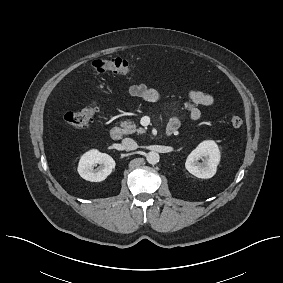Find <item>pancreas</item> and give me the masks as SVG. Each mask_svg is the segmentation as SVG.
I'll return each instance as SVG.
<instances>
[{"mask_svg": "<svg viewBox=\"0 0 283 283\" xmlns=\"http://www.w3.org/2000/svg\"><path fill=\"white\" fill-rule=\"evenodd\" d=\"M120 126L122 127V132L124 134H132L137 132L138 134H144L146 131L143 128H136V125L131 120L122 121Z\"/></svg>", "mask_w": 283, "mask_h": 283, "instance_id": "cf45deb5", "label": "pancreas"}]
</instances>
